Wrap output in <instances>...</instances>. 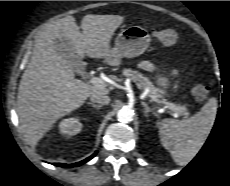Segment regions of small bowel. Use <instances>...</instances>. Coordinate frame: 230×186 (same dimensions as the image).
<instances>
[{"label": "small bowel", "mask_w": 230, "mask_h": 186, "mask_svg": "<svg viewBox=\"0 0 230 186\" xmlns=\"http://www.w3.org/2000/svg\"><path fill=\"white\" fill-rule=\"evenodd\" d=\"M140 67L147 71H152L154 69V65L149 61L141 62Z\"/></svg>", "instance_id": "obj_1"}]
</instances>
